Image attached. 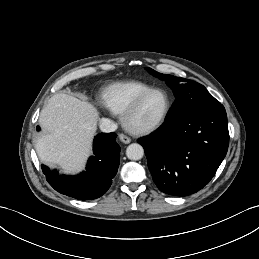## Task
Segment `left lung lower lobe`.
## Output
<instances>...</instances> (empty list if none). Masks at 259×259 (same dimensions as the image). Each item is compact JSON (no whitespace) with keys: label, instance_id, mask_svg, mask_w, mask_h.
Here are the masks:
<instances>
[{"label":"left lung lower lobe","instance_id":"1","mask_svg":"<svg viewBox=\"0 0 259 259\" xmlns=\"http://www.w3.org/2000/svg\"><path fill=\"white\" fill-rule=\"evenodd\" d=\"M138 142L159 190L173 196L193 194L212 179L227 153L225 108L218 104L166 120Z\"/></svg>","mask_w":259,"mask_h":259}]
</instances>
